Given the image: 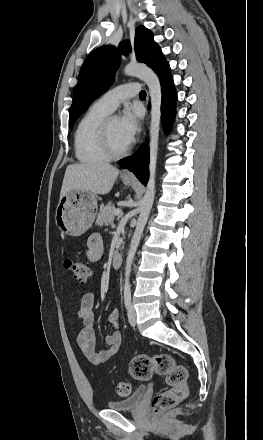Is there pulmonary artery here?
I'll return each instance as SVG.
<instances>
[{
  "label": "pulmonary artery",
  "mask_w": 263,
  "mask_h": 440,
  "mask_svg": "<svg viewBox=\"0 0 263 440\" xmlns=\"http://www.w3.org/2000/svg\"><path fill=\"white\" fill-rule=\"evenodd\" d=\"M141 91L139 83L128 82L104 93L95 103L103 109L112 112L124 100L134 97Z\"/></svg>",
  "instance_id": "obj_1"
}]
</instances>
